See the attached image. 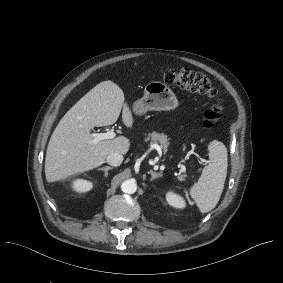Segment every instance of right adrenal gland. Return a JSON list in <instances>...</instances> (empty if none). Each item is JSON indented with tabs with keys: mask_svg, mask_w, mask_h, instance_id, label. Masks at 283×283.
<instances>
[{
	"mask_svg": "<svg viewBox=\"0 0 283 283\" xmlns=\"http://www.w3.org/2000/svg\"><path fill=\"white\" fill-rule=\"evenodd\" d=\"M112 169H114V167H109V166H103V167H100V168H98V170H105V176L107 177L108 176V171L109 170H112Z\"/></svg>",
	"mask_w": 283,
	"mask_h": 283,
	"instance_id": "2a0ac1e0",
	"label": "right adrenal gland"
}]
</instances>
